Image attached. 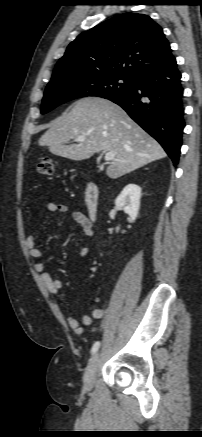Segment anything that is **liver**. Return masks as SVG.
I'll use <instances>...</instances> for the list:
<instances>
[{
  "label": "liver",
  "instance_id": "liver-1",
  "mask_svg": "<svg viewBox=\"0 0 202 437\" xmlns=\"http://www.w3.org/2000/svg\"><path fill=\"white\" fill-rule=\"evenodd\" d=\"M78 136H85L84 141L66 145ZM38 144L75 161L89 159L100 150L114 152L106 170L111 179L166 157L161 145L120 106L98 97L78 100L70 112L51 123Z\"/></svg>",
  "mask_w": 202,
  "mask_h": 437
}]
</instances>
